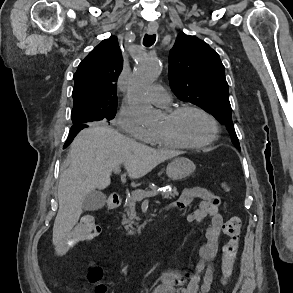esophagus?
Here are the masks:
<instances>
[{"label": "esophagus", "instance_id": "obj_1", "mask_svg": "<svg viewBox=\"0 0 293 293\" xmlns=\"http://www.w3.org/2000/svg\"><path fill=\"white\" fill-rule=\"evenodd\" d=\"M157 29H158L157 25L151 24V25L148 26L147 31H148L149 34H154V33H156Z\"/></svg>", "mask_w": 293, "mask_h": 293}]
</instances>
